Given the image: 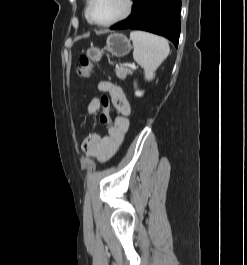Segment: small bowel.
<instances>
[{"label":"small bowel","mask_w":247,"mask_h":265,"mask_svg":"<svg viewBox=\"0 0 247 265\" xmlns=\"http://www.w3.org/2000/svg\"><path fill=\"white\" fill-rule=\"evenodd\" d=\"M98 90L108 93L117 116L110 122L107 133H92L82 143V150L88 157L104 162L111 158L122 144L125 134L129 128L130 103L121 87L108 82L101 81ZM107 97H95L87 105V115L90 117L100 110L103 100Z\"/></svg>","instance_id":"obj_1"}]
</instances>
